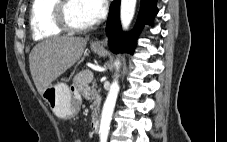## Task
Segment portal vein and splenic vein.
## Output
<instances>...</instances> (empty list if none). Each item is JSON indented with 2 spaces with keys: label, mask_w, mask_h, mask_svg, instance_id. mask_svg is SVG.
Here are the masks:
<instances>
[{
  "label": "portal vein and splenic vein",
  "mask_w": 227,
  "mask_h": 142,
  "mask_svg": "<svg viewBox=\"0 0 227 142\" xmlns=\"http://www.w3.org/2000/svg\"><path fill=\"white\" fill-rule=\"evenodd\" d=\"M87 79H88L89 82H92V80H93V73L92 72H90V71L88 72Z\"/></svg>",
  "instance_id": "portal-vein-and-splenic-vein-1"
}]
</instances>
